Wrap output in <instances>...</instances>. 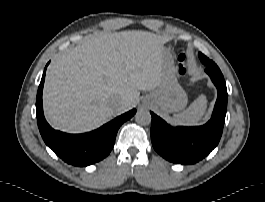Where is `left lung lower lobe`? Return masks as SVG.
I'll list each match as a JSON object with an SVG mask.
<instances>
[{"label": "left lung lower lobe", "mask_w": 265, "mask_h": 202, "mask_svg": "<svg viewBox=\"0 0 265 202\" xmlns=\"http://www.w3.org/2000/svg\"><path fill=\"white\" fill-rule=\"evenodd\" d=\"M199 57L218 89L211 120L201 127L172 128L151 112L152 145L162 157L173 163L193 164L202 160L217 146L223 131L227 109L226 84L218 66L201 53Z\"/></svg>", "instance_id": "0a47b994"}]
</instances>
